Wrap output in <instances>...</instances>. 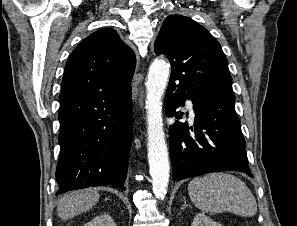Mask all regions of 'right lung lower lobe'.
<instances>
[{
	"label": "right lung lower lobe",
	"instance_id": "98d812e1",
	"mask_svg": "<svg viewBox=\"0 0 297 226\" xmlns=\"http://www.w3.org/2000/svg\"><path fill=\"white\" fill-rule=\"evenodd\" d=\"M56 195L90 186L125 189L132 139L131 88L61 101Z\"/></svg>",
	"mask_w": 297,
	"mask_h": 226
}]
</instances>
